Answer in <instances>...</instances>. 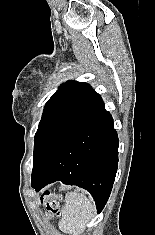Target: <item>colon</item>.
Here are the masks:
<instances>
[{
  "label": "colon",
  "mask_w": 155,
  "mask_h": 235,
  "mask_svg": "<svg viewBox=\"0 0 155 235\" xmlns=\"http://www.w3.org/2000/svg\"><path fill=\"white\" fill-rule=\"evenodd\" d=\"M40 200L45 205L46 210L49 214H54V215L59 214L60 203L49 192L43 193L40 197Z\"/></svg>",
  "instance_id": "colon-1"
}]
</instances>
